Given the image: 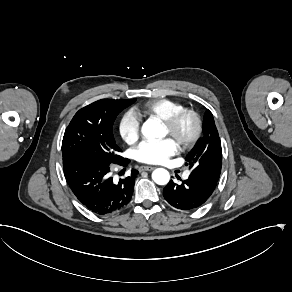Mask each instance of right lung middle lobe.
Listing matches in <instances>:
<instances>
[{
  "instance_id": "1",
  "label": "right lung middle lobe",
  "mask_w": 292,
  "mask_h": 292,
  "mask_svg": "<svg viewBox=\"0 0 292 292\" xmlns=\"http://www.w3.org/2000/svg\"><path fill=\"white\" fill-rule=\"evenodd\" d=\"M136 101L102 99L80 109L68 125L62 156L91 158L104 163L121 161V151L113 136L117 115Z\"/></svg>"
}]
</instances>
